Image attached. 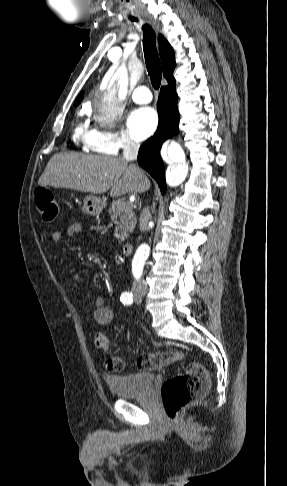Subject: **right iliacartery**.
I'll return each mask as SVG.
<instances>
[{"instance_id":"right-iliac-artery-1","label":"right iliac artery","mask_w":287,"mask_h":486,"mask_svg":"<svg viewBox=\"0 0 287 486\" xmlns=\"http://www.w3.org/2000/svg\"><path fill=\"white\" fill-rule=\"evenodd\" d=\"M121 299H129V300L131 299L132 300L133 299L132 298V293L131 292H124V293H122Z\"/></svg>"}]
</instances>
